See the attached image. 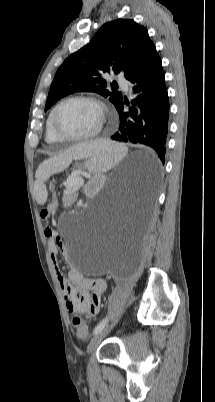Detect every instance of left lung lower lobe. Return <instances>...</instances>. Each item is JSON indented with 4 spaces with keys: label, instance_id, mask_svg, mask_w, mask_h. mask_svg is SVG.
<instances>
[{
    "label": "left lung lower lobe",
    "instance_id": "obj_1",
    "mask_svg": "<svg viewBox=\"0 0 215 402\" xmlns=\"http://www.w3.org/2000/svg\"><path fill=\"white\" fill-rule=\"evenodd\" d=\"M133 84L132 101L129 105L125 99L119 102L116 109L119 113L120 125L111 139L120 142L144 144L151 147L164 164L168 134L169 101L165 85L162 62L158 56L145 68L128 79ZM160 171L159 162L154 163L153 170H146L144 177L149 183L154 182Z\"/></svg>",
    "mask_w": 215,
    "mask_h": 402
}]
</instances>
